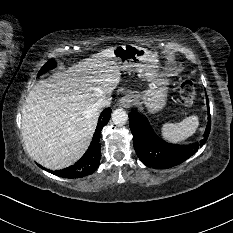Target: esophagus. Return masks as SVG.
<instances>
[{
  "label": "esophagus",
  "instance_id": "34e87169",
  "mask_svg": "<svg viewBox=\"0 0 233 233\" xmlns=\"http://www.w3.org/2000/svg\"><path fill=\"white\" fill-rule=\"evenodd\" d=\"M134 103L135 99L132 95H126L119 101V105L123 108H130L132 105H134Z\"/></svg>",
  "mask_w": 233,
  "mask_h": 233
}]
</instances>
